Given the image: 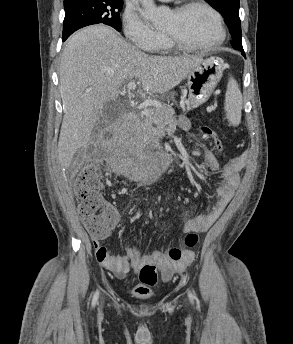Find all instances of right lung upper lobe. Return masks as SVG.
<instances>
[{
    "mask_svg": "<svg viewBox=\"0 0 293 344\" xmlns=\"http://www.w3.org/2000/svg\"><path fill=\"white\" fill-rule=\"evenodd\" d=\"M78 0H64V4L70 3V2H76Z\"/></svg>",
    "mask_w": 293,
    "mask_h": 344,
    "instance_id": "1",
    "label": "right lung upper lobe"
}]
</instances>
